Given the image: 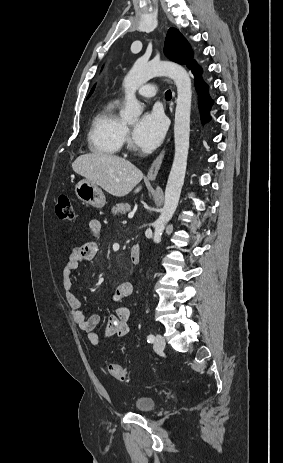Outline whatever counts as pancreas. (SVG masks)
<instances>
[{
  "label": "pancreas",
  "instance_id": "cf45deb5",
  "mask_svg": "<svg viewBox=\"0 0 283 463\" xmlns=\"http://www.w3.org/2000/svg\"><path fill=\"white\" fill-rule=\"evenodd\" d=\"M130 209L131 207L128 203H118L116 204V206L112 208L111 212L113 215H118V214L124 215L128 211H130Z\"/></svg>",
  "mask_w": 283,
  "mask_h": 463
}]
</instances>
